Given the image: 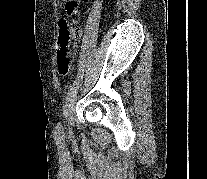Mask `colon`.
Here are the masks:
<instances>
[{
	"label": "colon",
	"instance_id": "5ec220e1",
	"mask_svg": "<svg viewBox=\"0 0 207 179\" xmlns=\"http://www.w3.org/2000/svg\"><path fill=\"white\" fill-rule=\"evenodd\" d=\"M80 0H65V8L68 13L79 14ZM80 27L77 23H68L66 20L59 25V45H58V71L61 76H66L71 68V50L72 39L80 37Z\"/></svg>",
	"mask_w": 207,
	"mask_h": 179
}]
</instances>
